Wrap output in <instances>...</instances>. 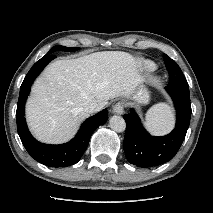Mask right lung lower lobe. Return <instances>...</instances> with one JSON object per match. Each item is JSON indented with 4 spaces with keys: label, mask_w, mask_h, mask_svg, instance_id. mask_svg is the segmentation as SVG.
<instances>
[{
    "label": "right lung lower lobe",
    "mask_w": 213,
    "mask_h": 213,
    "mask_svg": "<svg viewBox=\"0 0 213 213\" xmlns=\"http://www.w3.org/2000/svg\"><path fill=\"white\" fill-rule=\"evenodd\" d=\"M46 54L37 61L26 75L21 87L17 103V130L27 152L38 162L49 167H66L77 163L85 152L93 131L108 119L107 109L89 117L82 124L78 134L71 141L61 145H47L35 140L27 129L24 118V105L30 87L44 67L55 58Z\"/></svg>",
    "instance_id": "98d812e1"
}]
</instances>
